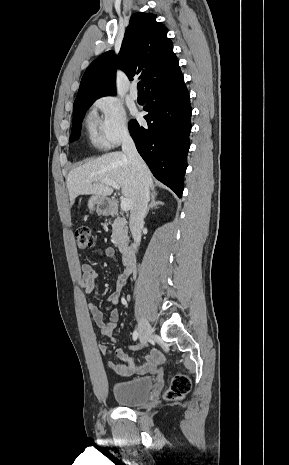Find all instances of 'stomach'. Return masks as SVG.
I'll use <instances>...</instances> for the list:
<instances>
[{"mask_svg":"<svg viewBox=\"0 0 289 465\" xmlns=\"http://www.w3.org/2000/svg\"><path fill=\"white\" fill-rule=\"evenodd\" d=\"M111 202L104 196H92L88 201L90 212L96 211L99 215H107L110 211Z\"/></svg>","mask_w":289,"mask_h":465,"instance_id":"0dacf381","label":"stomach"}]
</instances>
